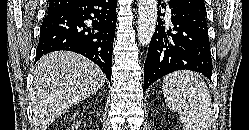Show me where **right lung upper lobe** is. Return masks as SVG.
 I'll return each instance as SVG.
<instances>
[{"mask_svg":"<svg viewBox=\"0 0 249 130\" xmlns=\"http://www.w3.org/2000/svg\"><path fill=\"white\" fill-rule=\"evenodd\" d=\"M78 0H50L48 15L61 12L72 5H74Z\"/></svg>","mask_w":249,"mask_h":130,"instance_id":"obj_1","label":"right lung upper lobe"}]
</instances>
